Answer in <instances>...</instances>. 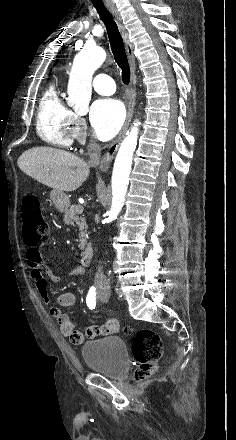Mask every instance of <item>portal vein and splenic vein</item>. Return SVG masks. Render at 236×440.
Returning a JSON list of instances; mask_svg holds the SVG:
<instances>
[{"label":"portal vein and splenic vein","instance_id":"18ae733b","mask_svg":"<svg viewBox=\"0 0 236 440\" xmlns=\"http://www.w3.org/2000/svg\"><path fill=\"white\" fill-rule=\"evenodd\" d=\"M77 212L82 213L83 212V207L81 205L78 206L77 208Z\"/></svg>","mask_w":236,"mask_h":440}]
</instances>
